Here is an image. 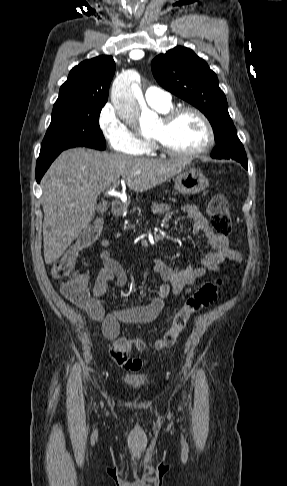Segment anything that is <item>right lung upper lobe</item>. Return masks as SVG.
<instances>
[{"mask_svg":"<svg viewBox=\"0 0 287 486\" xmlns=\"http://www.w3.org/2000/svg\"><path fill=\"white\" fill-rule=\"evenodd\" d=\"M114 72L115 62L111 56L102 55L81 62L70 71L54 106L87 101L106 103Z\"/></svg>","mask_w":287,"mask_h":486,"instance_id":"obj_1","label":"right lung upper lobe"}]
</instances>
